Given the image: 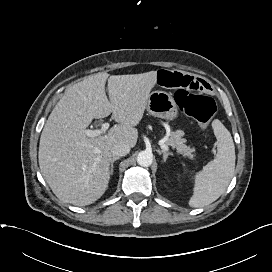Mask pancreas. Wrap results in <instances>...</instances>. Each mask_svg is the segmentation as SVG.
Masks as SVG:
<instances>
[{
    "instance_id": "pancreas-1",
    "label": "pancreas",
    "mask_w": 272,
    "mask_h": 272,
    "mask_svg": "<svg viewBox=\"0 0 272 272\" xmlns=\"http://www.w3.org/2000/svg\"><path fill=\"white\" fill-rule=\"evenodd\" d=\"M184 132L177 130L175 132H170L165 144L176 149L177 153L188 157L189 159H194L196 157L195 148L187 146L186 139L182 138Z\"/></svg>"
}]
</instances>
